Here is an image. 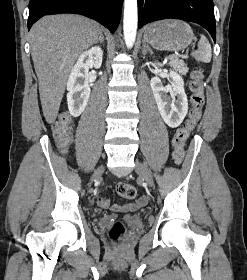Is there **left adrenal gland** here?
I'll return each mask as SVG.
<instances>
[{"mask_svg": "<svg viewBox=\"0 0 247 280\" xmlns=\"http://www.w3.org/2000/svg\"><path fill=\"white\" fill-rule=\"evenodd\" d=\"M147 52L152 53V50L145 42H143L142 53L143 55H146Z\"/></svg>", "mask_w": 247, "mask_h": 280, "instance_id": "1", "label": "left adrenal gland"}]
</instances>
